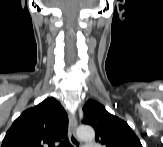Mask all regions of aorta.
Segmentation results:
<instances>
[{
    "label": "aorta",
    "instance_id": "1",
    "mask_svg": "<svg viewBox=\"0 0 163 147\" xmlns=\"http://www.w3.org/2000/svg\"><path fill=\"white\" fill-rule=\"evenodd\" d=\"M77 136L84 141H92L95 138V131L89 125H81L77 129Z\"/></svg>",
    "mask_w": 163,
    "mask_h": 147
}]
</instances>
